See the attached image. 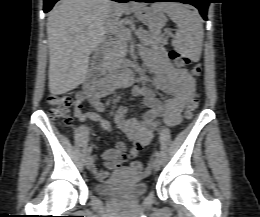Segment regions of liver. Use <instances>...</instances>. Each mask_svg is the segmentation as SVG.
<instances>
[{
    "instance_id": "liver-1",
    "label": "liver",
    "mask_w": 260,
    "mask_h": 217,
    "mask_svg": "<svg viewBox=\"0 0 260 217\" xmlns=\"http://www.w3.org/2000/svg\"><path fill=\"white\" fill-rule=\"evenodd\" d=\"M121 15L127 5L115 4ZM113 3L109 0H61L49 12V91L64 94L87 76L91 53L104 40Z\"/></svg>"
}]
</instances>
